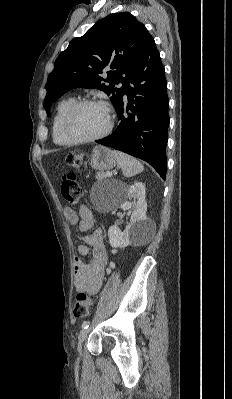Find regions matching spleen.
Segmentation results:
<instances>
[{
    "label": "spleen",
    "mask_w": 232,
    "mask_h": 399,
    "mask_svg": "<svg viewBox=\"0 0 232 399\" xmlns=\"http://www.w3.org/2000/svg\"><path fill=\"white\" fill-rule=\"evenodd\" d=\"M114 154L117 158V164L122 170L125 178H131V176H136V174H141L144 170V166H142L141 162L132 158V156H127V154H123V152H116L114 150Z\"/></svg>",
    "instance_id": "3e777b00"
}]
</instances>
